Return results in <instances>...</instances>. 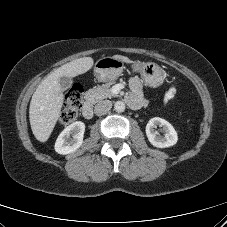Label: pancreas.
<instances>
[{
	"mask_svg": "<svg viewBox=\"0 0 227 227\" xmlns=\"http://www.w3.org/2000/svg\"><path fill=\"white\" fill-rule=\"evenodd\" d=\"M112 84L113 82H108L106 84H103L102 86L89 89L85 93L86 100L91 104H95L105 98L115 97L116 95L112 93L110 88Z\"/></svg>",
	"mask_w": 227,
	"mask_h": 227,
	"instance_id": "obj_1",
	"label": "pancreas"
}]
</instances>
